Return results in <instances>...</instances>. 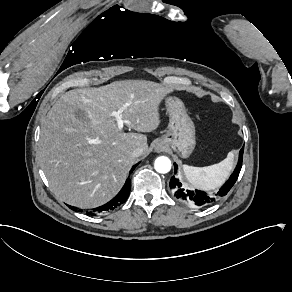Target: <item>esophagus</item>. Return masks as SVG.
<instances>
[{
    "label": "esophagus",
    "mask_w": 292,
    "mask_h": 292,
    "mask_svg": "<svg viewBox=\"0 0 292 292\" xmlns=\"http://www.w3.org/2000/svg\"><path fill=\"white\" fill-rule=\"evenodd\" d=\"M157 149H159V151H162L163 150V144H158V146L156 147Z\"/></svg>",
    "instance_id": "34e87169"
}]
</instances>
